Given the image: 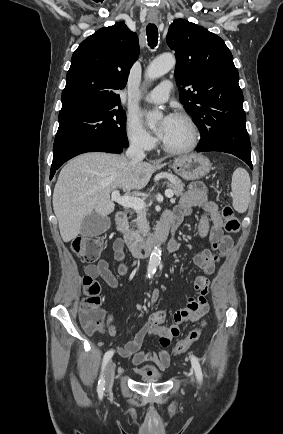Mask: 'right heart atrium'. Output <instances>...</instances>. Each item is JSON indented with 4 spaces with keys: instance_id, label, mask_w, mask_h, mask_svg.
Returning <instances> with one entry per match:
<instances>
[{
    "instance_id": "obj_1",
    "label": "right heart atrium",
    "mask_w": 283,
    "mask_h": 434,
    "mask_svg": "<svg viewBox=\"0 0 283 434\" xmlns=\"http://www.w3.org/2000/svg\"><path fill=\"white\" fill-rule=\"evenodd\" d=\"M126 136L131 146L148 151L155 146V139L142 126L137 117L129 116L126 120Z\"/></svg>"
}]
</instances>
